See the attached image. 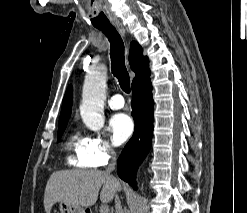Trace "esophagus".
<instances>
[{"label":"esophagus","instance_id":"obj_1","mask_svg":"<svg viewBox=\"0 0 247 213\" xmlns=\"http://www.w3.org/2000/svg\"><path fill=\"white\" fill-rule=\"evenodd\" d=\"M113 24L117 28V30L121 33V35L125 36V29L123 25L120 22H114Z\"/></svg>","mask_w":247,"mask_h":213}]
</instances>
